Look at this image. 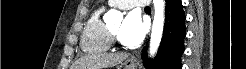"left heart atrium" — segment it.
Wrapping results in <instances>:
<instances>
[{
    "label": "left heart atrium",
    "mask_w": 246,
    "mask_h": 69,
    "mask_svg": "<svg viewBox=\"0 0 246 69\" xmlns=\"http://www.w3.org/2000/svg\"><path fill=\"white\" fill-rule=\"evenodd\" d=\"M145 33V26L141 16L137 11H131L127 14L121 29L119 38L127 46L139 44Z\"/></svg>",
    "instance_id": "39dd6f15"
}]
</instances>
